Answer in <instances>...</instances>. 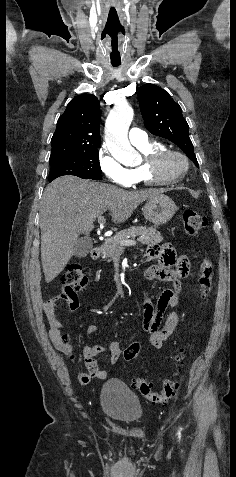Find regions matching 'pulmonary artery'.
I'll return each mask as SVG.
<instances>
[{
  "label": "pulmonary artery",
  "instance_id": "e3ab8cb5",
  "mask_svg": "<svg viewBox=\"0 0 236 477\" xmlns=\"http://www.w3.org/2000/svg\"><path fill=\"white\" fill-rule=\"evenodd\" d=\"M128 136L130 142L135 146L148 141L147 133L139 128L130 129Z\"/></svg>",
  "mask_w": 236,
  "mask_h": 477
}]
</instances>
